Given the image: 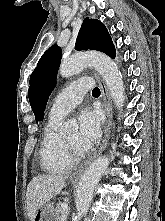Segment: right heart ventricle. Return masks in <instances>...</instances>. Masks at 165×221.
I'll return each mask as SVG.
<instances>
[{"label":"right heart ventricle","mask_w":165,"mask_h":221,"mask_svg":"<svg viewBox=\"0 0 165 221\" xmlns=\"http://www.w3.org/2000/svg\"><path fill=\"white\" fill-rule=\"evenodd\" d=\"M60 121L61 119L49 117L43 130L39 149L40 167L43 171L51 174L68 172L75 164L64 148L59 132Z\"/></svg>","instance_id":"e07e8e85"}]
</instances>
